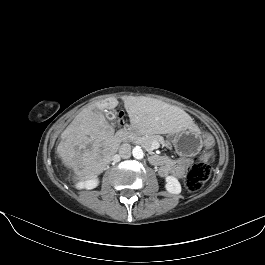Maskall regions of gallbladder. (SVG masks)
I'll return each instance as SVG.
<instances>
[{
  "instance_id": "1",
  "label": "gallbladder",
  "mask_w": 265,
  "mask_h": 265,
  "mask_svg": "<svg viewBox=\"0 0 265 265\" xmlns=\"http://www.w3.org/2000/svg\"><path fill=\"white\" fill-rule=\"evenodd\" d=\"M106 116L108 117V119H109L110 121L113 120V119L115 118V115H114L113 112H108Z\"/></svg>"
}]
</instances>
